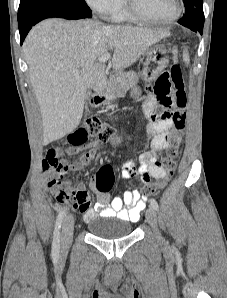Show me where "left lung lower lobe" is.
Returning <instances> with one entry per match:
<instances>
[{
	"mask_svg": "<svg viewBox=\"0 0 227 298\" xmlns=\"http://www.w3.org/2000/svg\"><path fill=\"white\" fill-rule=\"evenodd\" d=\"M190 29H191L192 31L199 32L200 34H202V32H203V28L191 27Z\"/></svg>",
	"mask_w": 227,
	"mask_h": 298,
	"instance_id": "1",
	"label": "left lung lower lobe"
}]
</instances>
